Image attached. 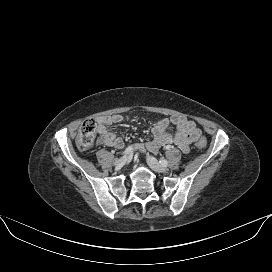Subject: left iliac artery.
<instances>
[{
    "mask_svg": "<svg viewBox=\"0 0 272 272\" xmlns=\"http://www.w3.org/2000/svg\"><path fill=\"white\" fill-rule=\"evenodd\" d=\"M160 164L163 165V166H167L168 162L167 160H165L164 158L160 159Z\"/></svg>",
    "mask_w": 272,
    "mask_h": 272,
    "instance_id": "obj_1",
    "label": "left iliac artery"
}]
</instances>
